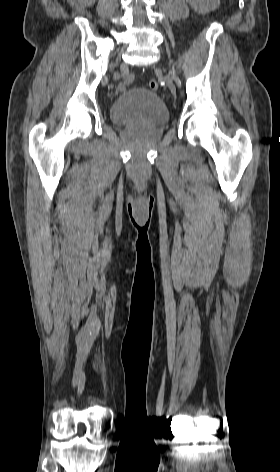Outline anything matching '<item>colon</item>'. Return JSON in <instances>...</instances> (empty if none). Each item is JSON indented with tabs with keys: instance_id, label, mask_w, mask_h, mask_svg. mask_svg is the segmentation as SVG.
Here are the masks:
<instances>
[{
	"instance_id": "colon-1",
	"label": "colon",
	"mask_w": 280,
	"mask_h": 472,
	"mask_svg": "<svg viewBox=\"0 0 280 472\" xmlns=\"http://www.w3.org/2000/svg\"><path fill=\"white\" fill-rule=\"evenodd\" d=\"M148 85H149L150 89H152V90H157L158 87H159L158 82H157L156 80H154V79H151V80L149 81Z\"/></svg>"
}]
</instances>
